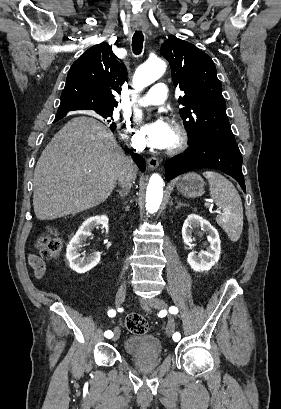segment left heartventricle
<instances>
[{"mask_svg":"<svg viewBox=\"0 0 281 409\" xmlns=\"http://www.w3.org/2000/svg\"><path fill=\"white\" fill-rule=\"evenodd\" d=\"M174 142H175V135H174V133L171 131V133H170V138H169V141H168V144H167L166 148H168V147H170L171 145H173Z\"/></svg>","mask_w":281,"mask_h":409,"instance_id":"obj_1","label":"left heart ventricle"}]
</instances>
